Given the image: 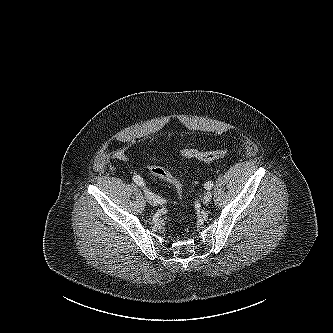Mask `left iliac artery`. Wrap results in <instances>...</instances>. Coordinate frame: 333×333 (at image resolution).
<instances>
[{
	"label": "left iliac artery",
	"mask_w": 333,
	"mask_h": 333,
	"mask_svg": "<svg viewBox=\"0 0 333 333\" xmlns=\"http://www.w3.org/2000/svg\"><path fill=\"white\" fill-rule=\"evenodd\" d=\"M212 187H213V183H212L211 181L206 182V184H205V188H206L207 190L212 189Z\"/></svg>",
	"instance_id": "1"
}]
</instances>
